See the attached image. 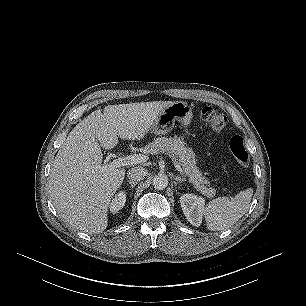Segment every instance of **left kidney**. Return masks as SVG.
<instances>
[{
    "label": "left kidney",
    "instance_id": "5707ae66",
    "mask_svg": "<svg viewBox=\"0 0 306 306\" xmlns=\"http://www.w3.org/2000/svg\"><path fill=\"white\" fill-rule=\"evenodd\" d=\"M180 204L187 220L193 226H200L202 223L205 199L194 194H184L180 198Z\"/></svg>",
    "mask_w": 306,
    "mask_h": 306
}]
</instances>
